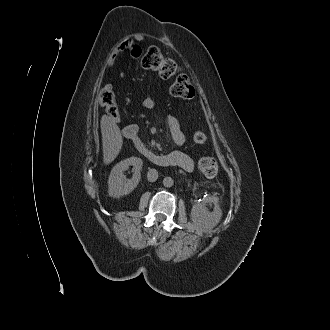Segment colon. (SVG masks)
<instances>
[{"instance_id":"1","label":"colon","mask_w":330,"mask_h":330,"mask_svg":"<svg viewBox=\"0 0 330 330\" xmlns=\"http://www.w3.org/2000/svg\"><path fill=\"white\" fill-rule=\"evenodd\" d=\"M141 65L144 69L157 73L162 79L175 78L170 88L173 96L183 99L194 97L195 89L190 77L181 73V67L175 61L165 57L157 46H150L146 49L141 58ZM98 98L110 117L119 118V109L111 86L103 87ZM193 141L197 144H204L207 141V136L201 131H196L193 134ZM198 166L206 177H213L217 174L218 164L212 157L201 158Z\"/></svg>"}]
</instances>
